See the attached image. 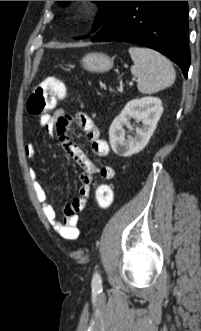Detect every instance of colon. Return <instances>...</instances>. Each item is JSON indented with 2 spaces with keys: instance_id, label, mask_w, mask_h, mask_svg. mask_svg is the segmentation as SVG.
Returning a JSON list of instances; mask_svg holds the SVG:
<instances>
[{
  "instance_id": "5ec220e1",
  "label": "colon",
  "mask_w": 201,
  "mask_h": 331,
  "mask_svg": "<svg viewBox=\"0 0 201 331\" xmlns=\"http://www.w3.org/2000/svg\"><path fill=\"white\" fill-rule=\"evenodd\" d=\"M66 96L63 82L51 77L42 81L32 92L27 102V110L33 116L46 114L53 109L58 101ZM96 204L99 209L106 211L113 203V190L109 184L97 186L95 194Z\"/></svg>"
}]
</instances>
